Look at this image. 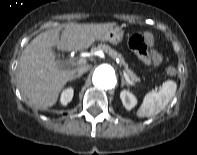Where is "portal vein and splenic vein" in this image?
Segmentation results:
<instances>
[{
    "label": "portal vein and splenic vein",
    "instance_id": "obj_1",
    "mask_svg": "<svg viewBox=\"0 0 197 155\" xmlns=\"http://www.w3.org/2000/svg\"><path fill=\"white\" fill-rule=\"evenodd\" d=\"M84 62V60H79L78 61V64H82ZM123 75H124V77H125V80L129 83V84H131V85H134V83L129 79V77L127 76V74L125 73V72H123ZM155 91H157L158 90V86H155Z\"/></svg>",
    "mask_w": 197,
    "mask_h": 155
}]
</instances>
